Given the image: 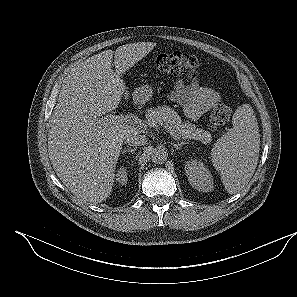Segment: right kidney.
<instances>
[{
	"label": "right kidney",
	"mask_w": 297,
	"mask_h": 297,
	"mask_svg": "<svg viewBox=\"0 0 297 297\" xmlns=\"http://www.w3.org/2000/svg\"><path fill=\"white\" fill-rule=\"evenodd\" d=\"M116 181L119 183V185H125L128 181L127 178V169L126 167L122 166L120 169H118L116 174Z\"/></svg>",
	"instance_id": "obj_1"
}]
</instances>
